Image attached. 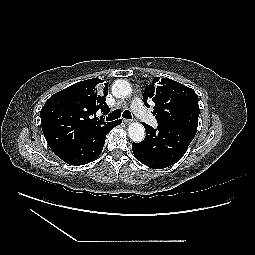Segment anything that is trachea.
I'll use <instances>...</instances> for the list:
<instances>
[{
  "label": "trachea",
  "instance_id": "trachea-1",
  "mask_svg": "<svg viewBox=\"0 0 255 255\" xmlns=\"http://www.w3.org/2000/svg\"><path fill=\"white\" fill-rule=\"evenodd\" d=\"M121 116V112L119 110H114L112 113L106 117L107 121H113L118 119ZM122 116L126 119H132V115L129 110H125L122 114Z\"/></svg>",
  "mask_w": 255,
  "mask_h": 255
}]
</instances>
